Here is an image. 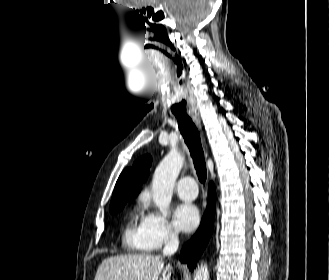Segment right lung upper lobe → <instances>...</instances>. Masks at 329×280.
<instances>
[{
	"label": "right lung upper lobe",
	"instance_id": "1",
	"mask_svg": "<svg viewBox=\"0 0 329 280\" xmlns=\"http://www.w3.org/2000/svg\"><path fill=\"white\" fill-rule=\"evenodd\" d=\"M150 164L151 157L145 155L136 160L132 168H127L120 174L114 188L110 207L138 195L143 180L147 178Z\"/></svg>",
	"mask_w": 329,
	"mask_h": 280
}]
</instances>
